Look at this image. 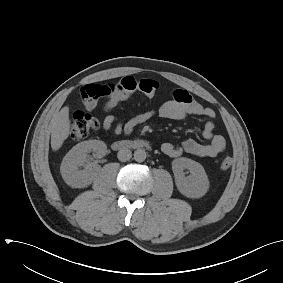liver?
<instances>
[{"label": "liver", "instance_id": "liver-1", "mask_svg": "<svg viewBox=\"0 0 283 283\" xmlns=\"http://www.w3.org/2000/svg\"><path fill=\"white\" fill-rule=\"evenodd\" d=\"M70 133L69 107H63L51 120V148H61Z\"/></svg>", "mask_w": 283, "mask_h": 283}]
</instances>
